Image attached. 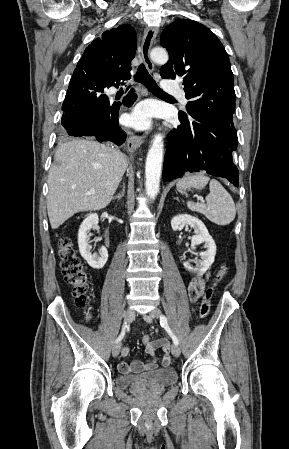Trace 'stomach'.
<instances>
[{"mask_svg":"<svg viewBox=\"0 0 289 449\" xmlns=\"http://www.w3.org/2000/svg\"><path fill=\"white\" fill-rule=\"evenodd\" d=\"M185 190H186V188H178V191H179L180 193H185Z\"/></svg>","mask_w":289,"mask_h":449,"instance_id":"stomach-1","label":"stomach"}]
</instances>
